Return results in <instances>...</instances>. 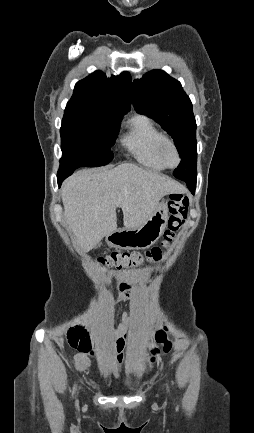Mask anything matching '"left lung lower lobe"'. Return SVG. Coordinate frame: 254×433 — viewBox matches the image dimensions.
Listing matches in <instances>:
<instances>
[{
    "label": "left lung lower lobe",
    "instance_id": "1",
    "mask_svg": "<svg viewBox=\"0 0 254 433\" xmlns=\"http://www.w3.org/2000/svg\"><path fill=\"white\" fill-rule=\"evenodd\" d=\"M189 190L194 194L196 188V182H186Z\"/></svg>",
    "mask_w": 254,
    "mask_h": 433
}]
</instances>
